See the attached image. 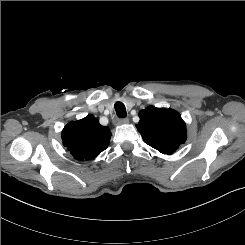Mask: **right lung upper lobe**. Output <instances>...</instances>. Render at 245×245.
I'll list each match as a JSON object with an SVG mask.
<instances>
[{
	"instance_id": "1",
	"label": "right lung upper lobe",
	"mask_w": 245,
	"mask_h": 245,
	"mask_svg": "<svg viewBox=\"0 0 245 245\" xmlns=\"http://www.w3.org/2000/svg\"><path fill=\"white\" fill-rule=\"evenodd\" d=\"M111 132L93 115L68 123L62 131L63 145L76 160H91L110 144Z\"/></svg>"
}]
</instances>
